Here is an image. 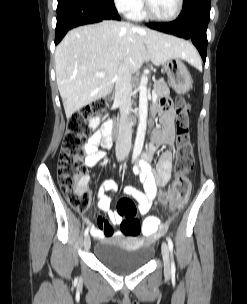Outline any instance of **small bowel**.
Listing matches in <instances>:
<instances>
[{
    "label": "small bowel",
    "instance_id": "small-bowel-1",
    "mask_svg": "<svg viewBox=\"0 0 247 304\" xmlns=\"http://www.w3.org/2000/svg\"><path fill=\"white\" fill-rule=\"evenodd\" d=\"M155 109L161 111L160 122L162 126L154 132L152 144L134 166V173L139 176L142 187L139 189L133 186H127L124 189L126 195L133 197L138 202L141 215H146L149 212L158 190L164 187L172 176V150H166L160 155L156 170H153L149 164L151 155L158 147L174 145L175 110L171 102L167 99H162ZM112 128V121L107 120L100 129L90 136L84 146V162L86 166L94 167L105 157V152L101 147L108 148L111 146ZM85 181L87 183V177ZM114 188V183L107 181L98 191V208L107 213L108 220L99 218L97 225L90 227L91 234L97 239H106L109 237L119 238L123 235L122 232H113L112 229V225L120 224L122 221V218L117 212L110 210L112 196L108 194V192H112Z\"/></svg>",
    "mask_w": 247,
    "mask_h": 304
}]
</instances>
